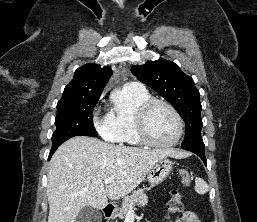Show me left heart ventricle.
I'll return each instance as SVG.
<instances>
[{"instance_id": "1", "label": "left heart ventricle", "mask_w": 257, "mask_h": 222, "mask_svg": "<svg viewBox=\"0 0 257 222\" xmlns=\"http://www.w3.org/2000/svg\"><path fill=\"white\" fill-rule=\"evenodd\" d=\"M147 126L153 140L166 143L177 135V121L171 111L163 105L155 106L149 113Z\"/></svg>"}]
</instances>
